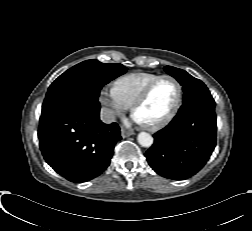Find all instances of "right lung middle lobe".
Wrapping results in <instances>:
<instances>
[{"label": "right lung middle lobe", "mask_w": 252, "mask_h": 231, "mask_svg": "<svg viewBox=\"0 0 252 231\" xmlns=\"http://www.w3.org/2000/svg\"><path fill=\"white\" fill-rule=\"evenodd\" d=\"M126 70L121 64H104L95 59L81 62L50 85L42 111L62 103H80L100 108L98 97L101 88Z\"/></svg>", "instance_id": "right-lung-middle-lobe-1"}]
</instances>
